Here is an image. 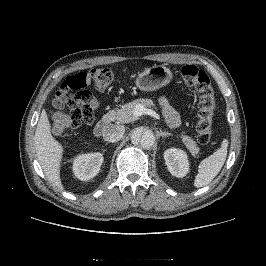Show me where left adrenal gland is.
<instances>
[{
    "mask_svg": "<svg viewBox=\"0 0 266 266\" xmlns=\"http://www.w3.org/2000/svg\"><path fill=\"white\" fill-rule=\"evenodd\" d=\"M159 136H161L162 138L168 137V136H172L171 133L169 132H163L162 130L158 131Z\"/></svg>",
    "mask_w": 266,
    "mask_h": 266,
    "instance_id": "1",
    "label": "left adrenal gland"
}]
</instances>
